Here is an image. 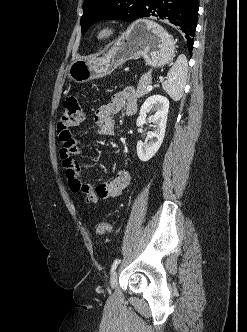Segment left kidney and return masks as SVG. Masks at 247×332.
Segmentation results:
<instances>
[{
    "label": "left kidney",
    "mask_w": 247,
    "mask_h": 332,
    "mask_svg": "<svg viewBox=\"0 0 247 332\" xmlns=\"http://www.w3.org/2000/svg\"><path fill=\"white\" fill-rule=\"evenodd\" d=\"M168 110L169 101L162 95L150 96L141 106L136 121L138 127H142V125L146 123V117L149 111L154 112L148 119L149 122L154 124V131L147 133L148 141H138L137 143V155L141 161L146 162L150 160L159 150L165 136Z\"/></svg>",
    "instance_id": "obj_1"
}]
</instances>
